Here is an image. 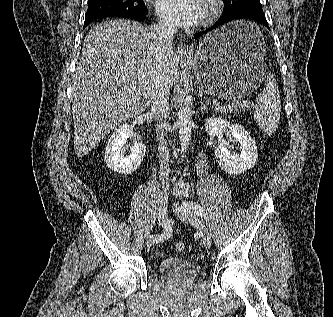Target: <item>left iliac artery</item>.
<instances>
[{
  "label": "left iliac artery",
  "instance_id": "1",
  "mask_svg": "<svg viewBox=\"0 0 333 317\" xmlns=\"http://www.w3.org/2000/svg\"><path fill=\"white\" fill-rule=\"evenodd\" d=\"M190 205H191V209L194 213L198 214V215H202L203 212H204V208L196 203V202H190Z\"/></svg>",
  "mask_w": 333,
  "mask_h": 317
}]
</instances>
